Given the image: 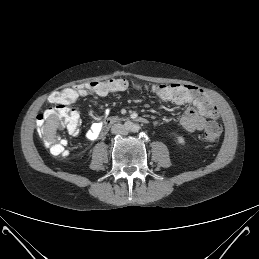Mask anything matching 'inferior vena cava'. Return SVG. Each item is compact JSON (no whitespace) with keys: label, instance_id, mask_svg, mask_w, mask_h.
<instances>
[{"label":"inferior vena cava","instance_id":"1","mask_svg":"<svg viewBox=\"0 0 259 259\" xmlns=\"http://www.w3.org/2000/svg\"><path fill=\"white\" fill-rule=\"evenodd\" d=\"M112 134H118V135H126L128 133L127 129L124 127V125L117 123L114 124L111 127Z\"/></svg>","mask_w":259,"mask_h":259}]
</instances>
